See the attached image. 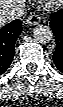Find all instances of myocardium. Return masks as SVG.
<instances>
[{"label":"myocardium","mask_w":63,"mask_h":107,"mask_svg":"<svg viewBox=\"0 0 63 107\" xmlns=\"http://www.w3.org/2000/svg\"><path fill=\"white\" fill-rule=\"evenodd\" d=\"M40 2L48 9L59 7L62 4V0H40Z\"/></svg>","instance_id":"f54148a6"}]
</instances>
